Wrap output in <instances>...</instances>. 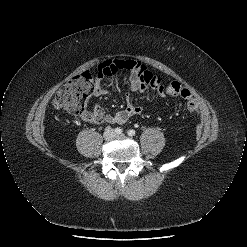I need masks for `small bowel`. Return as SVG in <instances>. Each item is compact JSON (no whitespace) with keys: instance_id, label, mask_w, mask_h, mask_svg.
<instances>
[{"instance_id":"c3829d8e","label":"small bowel","mask_w":247,"mask_h":247,"mask_svg":"<svg viewBox=\"0 0 247 247\" xmlns=\"http://www.w3.org/2000/svg\"><path fill=\"white\" fill-rule=\"evenodd\" d=\"M120 71H127L130 74L129 82L132 92H144L149 89L156 91L161 97H165V86L160 78L150 72L142 63L130 59L105 60L99 65L98 75L94 84L95 96H104L108 92L102 86V79L118 74ZM142 107L133 103L130 96L126 97V105L122 110L112 114H106L101 105L96 104L92 111H84L79 118L87 123L99 125L124 124L131 117L141 114Z\"/></svg>"}]
</instances>
